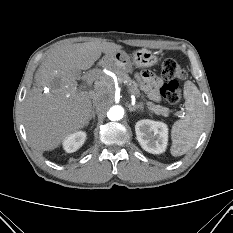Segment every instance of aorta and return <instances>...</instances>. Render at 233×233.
<instances>
[{
	"label": "aorta",
	"instance_id": "obj_1",
	"mask_svg": "<svg viewBox=\"0 0 233 233\" xmlns=\"http://www.w3.org/2000/svg\"><path fill=\"white\" fill-rule=\"evenodd\" d=\"M124 110L119 105H113L109 107L107 117L112 121H118L123 118Z\"/></svg>",
	"mask_w": 233,
	"mask_h": 233
}]
</instances>
